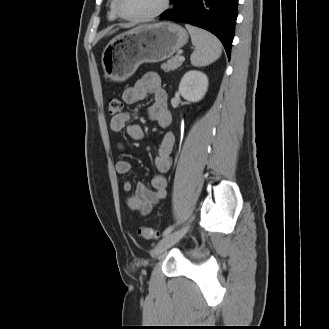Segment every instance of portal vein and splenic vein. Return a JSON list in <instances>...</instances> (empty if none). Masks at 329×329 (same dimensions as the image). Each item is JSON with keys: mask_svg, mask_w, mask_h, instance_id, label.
Here are the masks:
<instances>
[{"mask_svg": "<svg viewBox=\"0 0 329 329\" xmlns=\"http://www.w3.org/2000/svg\"><path fill=\"white\" fill-rule=\"evenodd\" d=\"M185 60L184 56L179 57V61L183 62Z\"/></svg>", "mask_w": 329, "mask_h": 329, "instance_id": "18ae733b", "label": "portal vein and splenic vein"}]
</instances>
